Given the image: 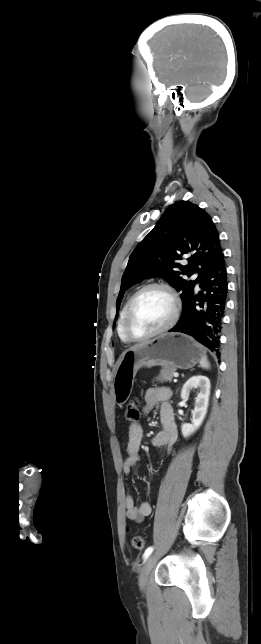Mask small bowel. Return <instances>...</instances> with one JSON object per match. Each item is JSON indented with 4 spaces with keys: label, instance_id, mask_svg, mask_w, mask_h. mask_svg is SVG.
Returning <instances> with one entry per match:
<instances>
[{
    "label": "small bowel",
    "instance_id": "obj_1",
    "mask_svg": "<svg viewBox=\"0 0 261 644\" xmlns=\"http://www.w3.org/2000/svg\"><path fill=\"white\" fill-rule=\"evenodd\" d=\"M171 391L166 387L150 388L144 396L143 412L145 414L154 410L158 405L162 430L151 440L155 448L166 447L171 452L178 441V428L174 420V411L169 400ZM143 438V428L140 423H132L128 427V442L126 446V457L123 462L124 474H129L136 463L140 460L139 450ZM126 517L136 522H142L151 513L150 503L144 501L136 505L134 498L127 494L125 497Z\"/></svg>",
    "mask_w": 261,
    "mask_h": 644
}]
</instances>
